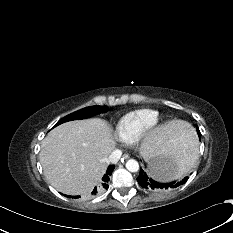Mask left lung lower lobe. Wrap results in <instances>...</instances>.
I'll use <instances>...</instances> for the list:
<instances>
[{
    "mask_svg": "<svg viewBox=\"0 0 233 233\" xmlns=\"http://www.w3.org/2000/svg\"><path fill=\"white\" fill-rule=\"evenodd\" d=\"M199 138H201V133L198 132ZM188 180V177H185L181 181H172V182H160L156 181L150 172H147L140 169L139 176L137 177V181L142 188L149 189V190H168L171 188H176L182 184H184ZM168 181V180H167Z\"/></svg>",
    "mask_w": 233,
    "mask_h": 233,
    "instance_id": "0a47b994",
    "label": "left lung lower lobe"
}]
</instances>
